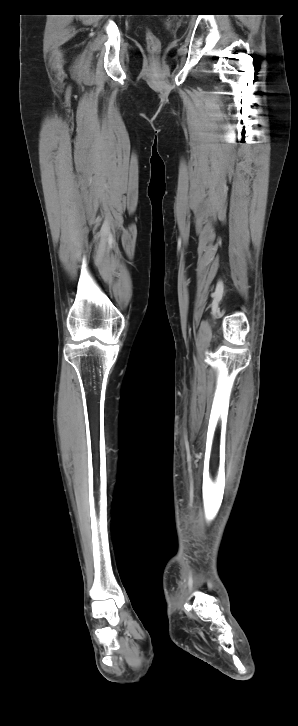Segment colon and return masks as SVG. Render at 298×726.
Here are the masks:
<instances>
[{
    "mask_svg": "<svg viewBox=\"0 0 298 726\" xmlns=\"http://www.w3.org/2000/svg\"><path fill=\"white\" fill-rule=\"evenodd\" d=\"M146 40H147V44H148V47L151 52L155 53L159 50L160 41L153 33L148 32L146 34Z\"/></svg>",
    "mask_w": 298,
    "mask_h": 726,
    "instance_id": "5ec220e1",
    "label": "colon"
}]
</instances>
